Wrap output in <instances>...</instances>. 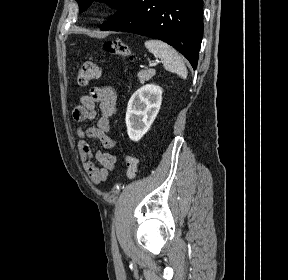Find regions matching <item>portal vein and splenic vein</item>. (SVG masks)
I'll use <instances>...</instances> for the list:
<instances>
[{
  "label": "portal vein and splenic vein",
  "instance_id": "portal-vein-and-splenic-vein-1",
  "mask_svg": "<svg viewBox=\"0 0 288 280\" xmlns=\"http://www.w3.org/2000/svg\"><path fill=\"white\" fill-rule=\"evenodd\" d=\"M160 61L156 60L154 63H151L150 66H155L157 65V63H159Z\"/></svg>",
  "mask_w": 288,
  "mask_h": 280
}]
</instances>
